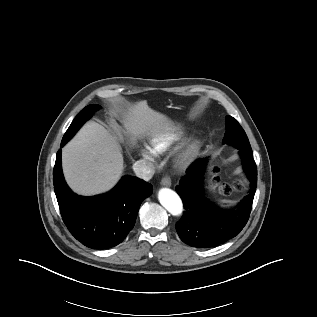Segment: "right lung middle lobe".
<instances>
[{
  "label": "right lung middle lobe",
  "instance_id": "1",
  "mask_svg": "<svg viewBox=\"0 0 317 317\" xmlns=\"http://www.w3.org/2000/svg\"><path fill=\"white\" fill-rule=\"evenodd\" d=\"M99 109H100L99 105L93 104V105H88L82 111H80V113L72 121L62 141L67 142L68 140H70L72 136L77 132V130L84 124V122L92 116V113Z\"/></svg>",
  "mask_w": 317,
  "mask_h": 317
}]
</instances>
